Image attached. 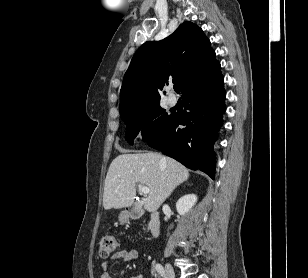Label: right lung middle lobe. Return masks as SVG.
Returning <instances> with one entry per match:
<instances>
[{
	"mask_svg": "<svg viewBox=\"0 0 308 278\" xmlns=\"http://www.w3.org/2000/svg\"><path fill=\"white\" fill-rule=\"evenodd\" d=\"M174 114L168 115L159 103L134 110L124 116L126 124L125 139L133 144L134 138L141 133L143 141L157 136L170 123Z\"/></svg>",
	"mask_w": 308,
	"mask_h": 278,
	"instance_id": "obj_1",
	"label": "right lung middle lobe"
}]
</instances>
